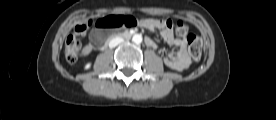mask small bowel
<instances>
[{"mask_svg":"<svg viewBox=\"0 0 276 120\" xmlns=\"http://www.w3.org/2000/svg\"><path fill=\"white\" fill-rule=\"evenodd\" d=\"M142 27L149 29V30H160V34L162 38L171 46H177L180 49L176 52L170 53L164 56L163 60L164 63L178 71H182L187 69L190 64L191 60L186 52L187 42L184 39L177 38L171 28V26L166 24V20H156V19H142ZM99 31L93 30L90 34V39L94 46H98L100 44V40L98 39ZM150 43L147 44L148 47L155 48L156 43L150 39Z\"/></svg>","mask_w":276,"mask_h":120,"instance_id":"small-bowel-1","label":"small bowel"}]
</instances>
